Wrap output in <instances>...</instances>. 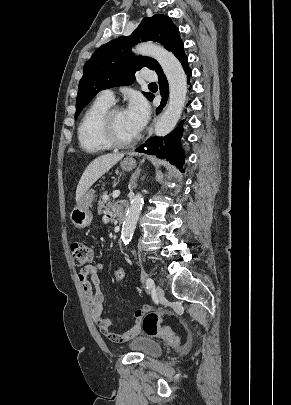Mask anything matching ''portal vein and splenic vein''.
I'll return each mask as SVG.
<instances>
[{
    "instance_id": "obj_1",
    "label": "portal vein and splenic vein",
    "mask_w": 291,
    "mask_h": 405,
    "mask_svg": "<svg viewBox=\"0 0 291 405\" xmlns=\"http://www.w3.org/2000/svg\"><path fill=\"white\" fill-rule=\"evenodd\" d=\"M119 195H120V191H119V190H115V191H113L112 197H113V198H117V197H119Z\"/></svg>"
}]
</instances>
